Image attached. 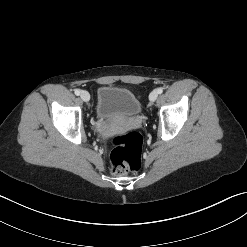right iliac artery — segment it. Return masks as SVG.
Instances as JSON below:
<instances>
[{
	"label": "right iliac artery",
	"instance_id": "82829eb1",
	"mask_svg": "<svg viewBox=\"0 0 247 247\" xmlns=\"http://www.w3.org/2000/svg\"><path fill=\"white\" fill-rule=\"evenodd\" d=\"M74 93H75V95L79 96L81 91L79 89H75Z\"/></svg>",
	"mask_w": 247,
	"mask_h": 247
}]
</instances>
